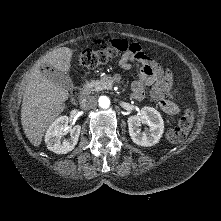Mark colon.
Here are the masks:
<instances>
[{
    "instance_id": "1",
    "label": "colon",
    "mask_w": 221,
    "mask_h": 221,
    "mask_svg": "<svg viewBox=\"0 0 221 221\" xmlns=\"http://www.w3.org/2000/svg\"><path fill=\"white\" fill-rule=\"evenodd\" d=\"M118 51L119 50L115 46L111 44H104L99 50L87 49L83 51L78 60L83 66L93 68L108 62L117 54ZM169 96L172 95L170 94ZM71 99L72 101H77L79 99V92L77 89H74L71 92ZM193 119V110L191 108H187L183 116L179 119L177 126L170 128L167 131V139L173 143L183 141L192 127Z\"/></svg>"
}]
</instances>
